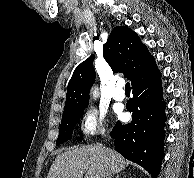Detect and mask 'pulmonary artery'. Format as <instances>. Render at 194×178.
I'll return each mask as SVG.
<instances>
[{"instance_id":"e3ab8cb5","label":"pulmonary artery","mask_w":194,"mask_h":178,"mask_svg":"<svg viewBox=\"0 0 194 178\" xmlns=\"http://www.w3.org/2000/svg\"><path fill=\"white\" fill-rule=\"evenodd\" d=\"M112 97L116 101H122L125 98V93L123 91V82L117 83L115 89L113 90Z\"/></svg>"}]
</instances>
